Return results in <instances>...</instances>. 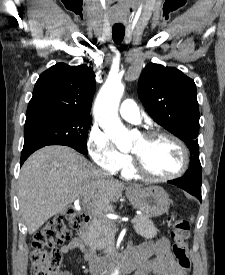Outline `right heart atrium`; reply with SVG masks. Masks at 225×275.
Masks as SVG:
<instances>
[{"label":"right heart atrium","mask_w":225,"mask_h":275,"mask_svg":"<svg viewBox=\"0 0 225 275\" xmlns=\"http://www.w3.org/2000/svg\"><path fill=\"white\" fill-rule=\"evenodd\" d=\"M87 147L92 160L100 169L117 172L130 162L129 156L119 151L109 135L98 126L91 128Z\"/></svg>","instance_id":"d8ad5b80"}]
</instances>
